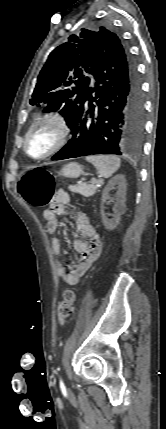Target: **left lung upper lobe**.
Wrapping results in <instances>:
<instances>
[{"mask_svg":"<svg viewBox=\"0 0 166 429\" xmlns=\"http://www.w3.org/2000/svg\"><path fill=\"white\" fill-rule=\"evenodd\" d=\"M115 33L104 27L82 29L69 41L54 49L42 68L30 104L44 106V112L60 110L68 127L74 123L89 86L94 52Z\"/></svg>","mask_w":166,"mask_h":429,"instance_id":"1","label":"left lung upper lobe"}]
</instances>
